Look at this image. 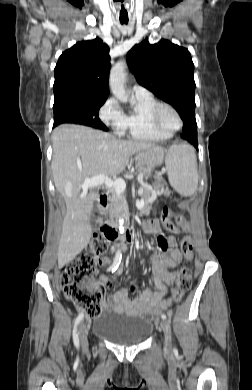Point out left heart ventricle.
Wrapping results in <instances>:
<instances>
[{
    "label": "left heart ventricle",
    "mask_w": 252,
    "mask_h": 390,
    "mask_svg": "<svg viewBox=\"0 0 252 390\" xmlns=\"http://www.w3.org/2000/svg\"><path fill=\"white\" fill-rule=\"evenodd\" d=\"M160 120H161L162 125L166 129L171 130V129H174L178 126V120H177L175 114L168 109L163 110L161 117H160Z\"/></svg>",
    "instance_id": "left-heart-ventricle-1"
}]
</instances>
